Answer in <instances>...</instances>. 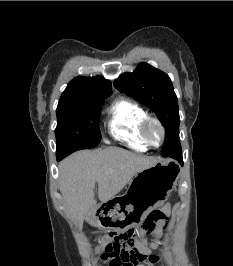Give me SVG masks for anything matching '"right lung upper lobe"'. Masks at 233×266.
<instances>
[{"mask_svg": "<svg viewBox=\"0 0 233 266\" xmlns=\"http://www.w3.org/2000/svg\"><path fill=\"white\" fill-rule=\"evenodd\" d=\"M112 93L111 83L103 77L74 78L63 92L59 102L74 101L85 98H106Z\"/></svg>", "mask_w": 233, "mask_h": 266, "instance_id": "right-lung-upper-lobe-1", "label": "right lung upper lobe"}]
</instances>
